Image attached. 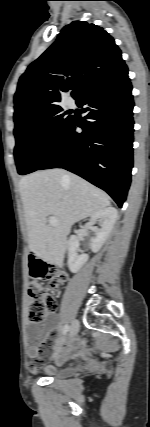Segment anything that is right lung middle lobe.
Instances as JSON below:
<instances>
[{
    "instance_id": "right-lung-middle-lobe-1",
    "label": "right lung middle lobe",
    "mask_w": 150,
    "mask_h": 427,
    "mask_svg": "<svg viewBox=\"0 0 150 427\" xmlns=\"http://www.w3.org/2000/svg\"><path fill=\"white\" fill-rule=\"evenodd\" d=\"M58 106L31 113L15 122L14 150L18 173L37 170L62 136L72 117Z\"/></svg>"
}]
</instances>
